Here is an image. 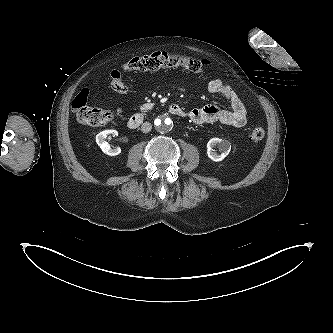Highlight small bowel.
<instances>
[{
  "mask_svg": "<svg viewBox=\"0 0 333 333\" xmlns=\"http://www.w3.org/2000/svg\"><path fill=\"white\" fill-rule=\"evenodd\" d=\"M207 89L210 93L222 95L230 104V109L225 110L218 105L209 104L201 108H194L186 112L190 120L196 124H212L219 122L223 125L241 128L247 123V112L243 102L232 87L220 78L209 81Z\"/></svg>",
  "mask_w": 333,
  "mask_h": 333,
  "instance_id": "1",
  "label": "small bowel"
}]
</instances>
